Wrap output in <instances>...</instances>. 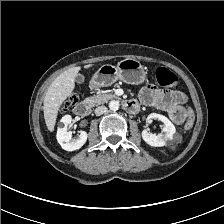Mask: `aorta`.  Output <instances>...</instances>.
Here are the masks:
<instances>
[{"label": "aorta", "mask_w": 224, "mask_h": 224, "mask_svg": "<svg viewBox=\"0 0 224 224\" xmlns=\"http://www.w3.org/2000/svg\"><path fill=\"white\" fill-rule=\"evenodd\" d=\"M119 106H120L119 101L112 100L109 103V108L112 111H117L119 109Z\"/></svg>", "instance_id": "1"}]
</instances>
